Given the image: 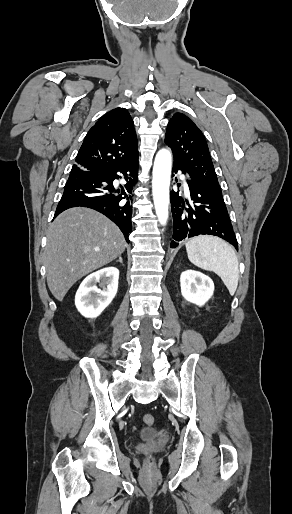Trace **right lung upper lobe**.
Masks as SVG:
<instances>
[{
    "instance_id": "right-lung-upper-lobe-1",
    "label": "right lung upper lobe",
    "mask_w": 292,
    "mask_h": 514,
    "mask_svg": "<svg viewBox=\"0 0 292 514\" xmlns=\"http://www.w3.org/2000/svg\"><path fill=\"white\" fill-rule=\"evenodd\" d=\"M138 158L133 120L125 108L102 116L87 133L77 154L74 171H105Z\"/></svg>"
}]
</instances>
